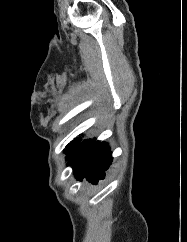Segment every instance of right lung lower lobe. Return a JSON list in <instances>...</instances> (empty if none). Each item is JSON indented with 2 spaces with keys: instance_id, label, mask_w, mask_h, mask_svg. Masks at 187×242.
Returning a JSON list of instances; mask_svg holds the SVG:
<instances>
[{
  "instance_id": "obj_1",
  "label": "right lung lower lobe",
  "mask_w": 187,
  "mask_h": 242,
  "mask_svg": "<svg viewBox=\"0 0 187 242\" xmlns=\"http://www.w3.org/2000/svg\"><path fill=\"white\" fill-rule=\"evenodd\" d=\"M77 137L69 143L65 150L68 165L72 166L78 180L86 178L89 182L98 183L105 178V172L112 163V153L106 142L96 139L84 140Z\"/></svg>"
}]
</instances>
